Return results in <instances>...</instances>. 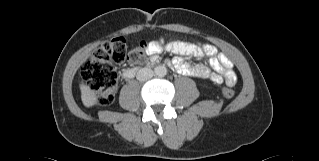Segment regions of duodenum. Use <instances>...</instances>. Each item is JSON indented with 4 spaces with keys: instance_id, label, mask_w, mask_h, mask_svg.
Wrapping results in <instances>:
<instances>
[{
    "instance_id": "duodenum-1",
    "label": "duodenum",
    "mask_w": 319,
    "mask_h": 161,
    "mask_svg": "<svg viewBox=\"0 0 319 161\" xmlns=\"http://www.w3.org/2000/svg\"><path fill=\"white\" fill-rule=\"evenodd\" d=\"M151 66H152V63L147 62L143 66L134 67V68H126L123 70L122 75L124 78L129 79L135 76L138 72H140L144 68H150Z\"/></svg>"
}]
</instances>
